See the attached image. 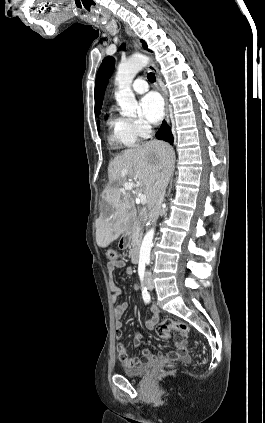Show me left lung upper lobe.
<instances>
[{
    "instance_id": "5c2ea615",
    "label": "left lung upper lobe",
    "mask_w": 265,
    "mask_h": 423,
    "mask_svg": "<svg viewBox=\"0 0 265 423\" xmlns=\"http://www.w3.org/2000/svg\"><path fill=\"white\" fill-rule=\"evenodd\" d=\"M124 47H125V45L123 44L121 46V48L123 49ZM143 47L147 49V45L145 44V42H143ZM113 70H114V58L111 57V56L106 57L102 61L101 66H100L98 73H97V77H96L95 98H96V100L97 99L99 100L100 106L102 105L105 89H106L108 80H109ZM98 100H97V102H98Z\"/></svg>"
}]
</instances>
